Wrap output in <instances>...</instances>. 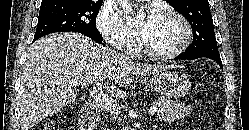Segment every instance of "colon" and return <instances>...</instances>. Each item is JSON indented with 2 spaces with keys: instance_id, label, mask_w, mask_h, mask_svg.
<instances>
[{
  "instance_id": "obj_1",
  "label": "colon",
  "mask_w": 249,
  "mask_h": 130,
  "mask_svg": "<svg viewBox=\"0 0 249 130\" xmlns=\"http://www.w3.org/2000/svg\"><path fill=\"white\" fill-rule=\"evenodd\" d=\"M58 122H59L58 117L54 116L45 123L42 130H59Z\"/></svg>"
}]
</instances>
